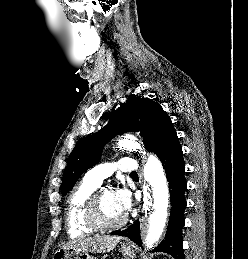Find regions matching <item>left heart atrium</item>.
I'll list each match as a JSON object with an SVG mask.
<instances>
[{
	"instance_id": "left-heart-atrium-1",
	"label": "left heart atrium",
	"mask_w": 248,
	"mask_h": 259,
	"mask_svg": "<svg viewBox=\"0 0 248 259\" xmlns=\"http://www.w3.org/2000/svg\"><path fill=\"white\" fill-rule=\"evenodd\" d=\"M114 198L121 209V211L126 214L131 207L130 194L125 189H119L114 192Z\"/></svg>"
}]
</instances>
